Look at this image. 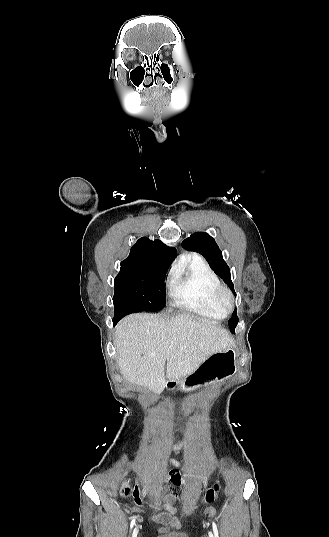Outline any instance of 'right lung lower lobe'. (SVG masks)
Instances as JSON below:
<instances>
[{"mask_svg": "<svg viewBox=\"0 0 329 537\" xmlns=\"http://www.w3.org/2000/svg\"><path fill=\"white\" fill-rule=\"evenodd\" d=\"M114 324H116L117 322L116 321H113Z\"/></svg>", "mask_w": 329, "mask_h": 537, "instance_id": "1", "label": "right lung lower lobe"}]
</instances>
